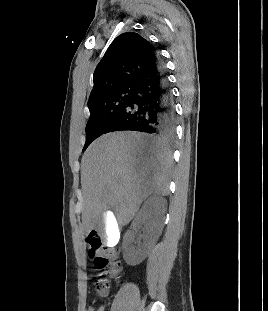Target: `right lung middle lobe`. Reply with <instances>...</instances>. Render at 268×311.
Segmentation results:
<instances>
[{
  "label": "right lung middle lobe",
  "instance_id": "right-lung-middle-lobe-1",
  "mask_svg": "<svg viewBox=\"0 0 268 311\" xmlns=\"http://www.w3.org/2000/svg\"><path fill=\"white\" fill-rule=\"evenodd\" d=\"M133 86L118 89L88 105L90 117L86 125V142L83 151L110 126L125 109L133 95Z\"/></svg>",
  "mask_w": 268,
  "mask_h": 311
}]
</instances>
